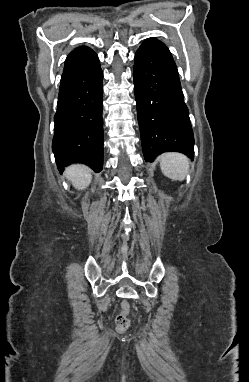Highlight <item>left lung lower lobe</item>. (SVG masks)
Here are the masks:
<instances>
[{
	"label": "left lung lower lobe",
	"instance_id": "1",
	"mask_svg": "<svg viewBox=\"0 0 249 382\" xmlns=\"http://www.w3.org/2000/svg\"><path fill=\"white\" fill-rule=\"evenodd\" d=\"M133 77L145 160L172 151L193 159L189 112L169 49L155 38L146 39L135 54Z\"/></svg>",
	"mask_w": 249,
	"mask_h": 382
}]
</instances>
